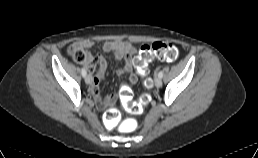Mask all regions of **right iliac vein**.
Listing matches in <instances>:
<instances>
[{
  "label": "right iliac vein",
  "instance_id": "1",
  "mask_svg": "<svg viewBox=\"0 0 258 158\" xmlns=\"http://www.w3.org/2000/svg\"><path fill=\"white\" fill-rule=\"evenodd\" d=\"M91 76L90 75H87V76H85V82L87 83V84H91Z\"/></svg>",
  "mask_w": 258,
  "mask_h": 158
}]
</instances>
